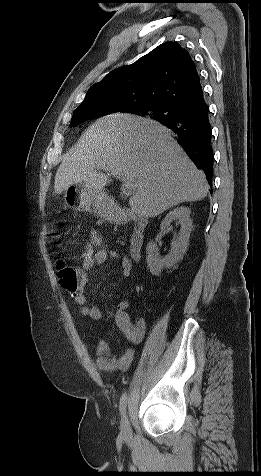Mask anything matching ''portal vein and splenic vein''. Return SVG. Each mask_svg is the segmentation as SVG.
<instances>
[{
	"instance_id": "1",
	"label": "portal vein and splenic vein",
	"mask_w": 261,
	"mask_h": 476,
	"mask_svg": "<svg viewBox=\"0 0 261 476\" xmlns=\"http://www.w3.org/2000/svg\"><path fill=\"white\" fill-rule=\"evenodd\" d=\"M113 176L119 178L123 183L124 188V195L130 196L132 195L133 191L135 190V185L133 184L132 180L129 177L123 176L118 172L112 173Z\"/></svg>"
}]
</instances>
